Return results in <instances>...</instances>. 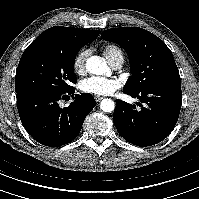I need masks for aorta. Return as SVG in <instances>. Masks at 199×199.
I'll return each mask as SVG.
<instances>
[{"mask_svg":"<svg viewBox=\"0 0 199 199\" xmlns=\"http://www.w3.org/2000/svg\"><path fill=\"white\" fill-rule=\"evenodd\" d=\"M86 68L95 75H103L109 70L106 62L95 56L87 59ZM100 108L104 112H112L115 109V104L111 99H103L100 103Z\"/></svg>","mask_w":199,"mask_h":199,"instance_id":"obj_1","label":"aorta"}]
</instances>
